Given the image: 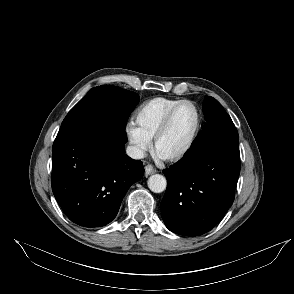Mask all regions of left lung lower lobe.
I'll list each match as a JSON object with an SVG mask.
<instances>
[{"label": "left lung lower lobe", "mask_w": 294, "mask_h": 294, "mask_svg": "<svg viewBox=\"0 0 294 294\" xmlns=\"http://www.w3.org/2000/svg\"><path fill=\"white\" fill-rule=\"evenodd\" d=\"M238 142L235 126L202 130L183 159L163 171L168 184L161 215L170 231L202 235L223 219L240 174Z\"/></svg>", "instance_id": "0a47b994"}]
</instances>
